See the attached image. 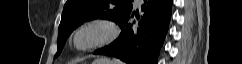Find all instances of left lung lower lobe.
I'll return each instance as SVG.
<instances>
[{
	"mask_svg": "<svg viewBox=\"0 0 242 64\" xmlns=\"http://www.w3.org/2000/svg\"><path fill=\"white\" fill-rule=\"evenodd\" d=\"M144 3V15L137 25L130 22L135 14L131 9L118 22L123 29L119 38L94 54L116 57L127 64H157L168 32L173 0H144Z\"/></svg>",
	"mask_w": 242,
	"mask_h": 64,
	"instance_id": "obj_1",
	"label": "left lung lower lobe"
}]
</instances>
